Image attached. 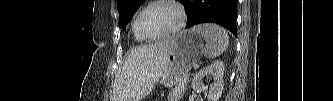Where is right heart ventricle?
Here are the masks:
<instances>
[{"mask_svg":"<svg viewBox=\"0 0 333 101\" xmlns=\"http://www.w3.org/2000/svg\"><path fill=\"white\" fill-rule=\"evenodd\" d=\"M132 30H133V34H134L135 40L137 42H143L144 39L142 37H140L139 34L136 31V28H135V19L133 20V23H132Z\"/></svg>","mask_w":333,"mask_h":101,"instance_id":"e07e8e85","label":"right heart ventricle"}]
</instances>
